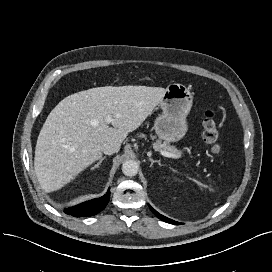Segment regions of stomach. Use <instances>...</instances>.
<instances>
[{
    "label": "stomach",
    "mask_w": 272,
    "mask_h": 272,
    "mask_svg": "<svg viewBox=\"0 0 272 272\" xmlns=\"http://www.w3.org/2000/svg\"><path fill=\"white\" fill-rule=\"evenodd\" d=\"M193 97L183 84L172 83L158 104L162 113L154 121V130L159 139L176 142L182 139L188 129L186 117L192 107Z\"/></svg>",
    "instance_id": "obj_1"
}]
</instances>
